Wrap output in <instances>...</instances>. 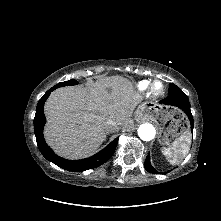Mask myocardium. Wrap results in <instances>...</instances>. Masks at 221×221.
<instances>
[{
  "label": "myocardium",
  "mask_w": 221,
  "mask_h": 221,
  "mask_svg": "<svg viewBox=\"0 0 221 221\" xmlns=\"http://www.w3.org/2000/svg\"><path fill=\"white\" fill-rule=\"evenodd\" d=\"M165 92V85L162 81L155 80L150 85V93L154 97H159Z\"/></svg>",
  "instance_id": "1"
}]
</instances>
